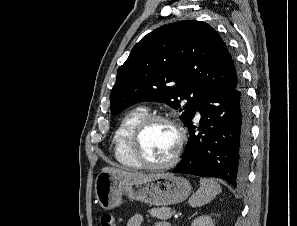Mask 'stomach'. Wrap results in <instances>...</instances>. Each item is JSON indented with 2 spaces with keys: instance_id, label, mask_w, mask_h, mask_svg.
I'll return each mask as SVG.
<instances>
[{
  "instance_id": "0dacf381",
  "label": "stomach",
  "mask_w": 297,
  "mask_h": 226,
  "mask_svg": "<svg viewBox=\"0 0 297 226\" xmlns=\"http://www.w3.org/2000/svg\"><path fill=\"white\" fill-rule=\"evenodd\" d=\"M94 192L100 206L109 210L119 206L123 196L156 206L180 203L190 195L191 185L187 179L168 173L129 181L101 172L96 177Z\"/></svg>"
}]
</instances>
